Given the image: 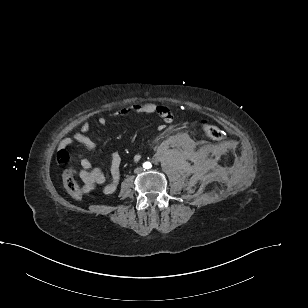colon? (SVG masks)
I'll use <instances>...</instances> for the list:
<instances>
[{
  "label": "colon",
  "instance_id": "obj_1",
  "mask_svg": "<svg viewBox=\"0 0 308 308\" xmlns=\"http://www.w3.org/2000/svg\"><path fill=\"white\" fill-rule=\"evenodd\" d=\"M202 130L204 134L216 141H220L224 138L222 131L215 125L203 121ZM58 161L64 165L63 170V183L66 190L76 199H81L87 192L85 188H82L76 180V171L72 165H70V154L67 149L61 148L58 151Z\"/></svg>",
  "mask_w": 308,
  "mask_h": 308
}]
</instances>
